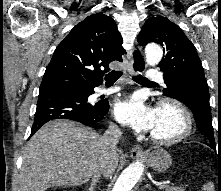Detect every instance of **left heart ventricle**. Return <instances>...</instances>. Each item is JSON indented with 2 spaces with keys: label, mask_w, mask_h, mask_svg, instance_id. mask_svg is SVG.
Instances as JSON below:
<instances>
[{
  "label": "left heart ventricle",
  "mask_w": 221,
  "mask_h": 191,
  "mask_svg": "<svg viewBox=\"0 0 221 191\" xmlns=\"http://www.w3.org/2000/svg\"><path fill=\"white\" fill-rule=\"evenodd\" d=\"M181 124V117L175 110L164 108L158 111L157 123L152 132L160 136H171L180 130Z\"/></svg>",
  "instance_id": "obj_1"
}]
</instances>
